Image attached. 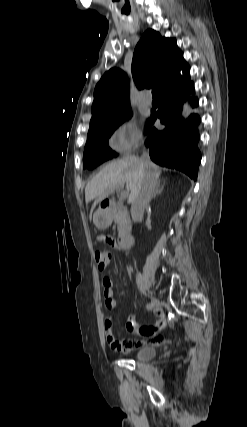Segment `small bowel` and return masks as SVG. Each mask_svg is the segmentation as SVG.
Listing matches in <instances>:
<instances>
[{"label": "small bowel", "mask_w": 247, "mask_h": 427, "mask_svg": "<svg viewBox=\"0 0 247 427\" xmlns=\"http://www.w3.org/2000/svg\"><path fill=\"white\" fill-rule=\"evenodd\" d=\"M99 238L102 239V243L108 248H113L115 240L113 238V234L111 232H104L99 235ZM103 288H104V298L106 307L109 310H113L117 306V302L114 298L113 293V284L112 280L108 277L103 279ZM113 315L108 314L105 320V332L107 336V340L110 343L111 347L117 352H129L135 347L141 346L146 343L159 345L165 342V338L158 333L167 326V319L164 315L160 314L158 320L151 325H145L140 327L137 320L134 316H130L127 319L126 328L130 332H137L144 339L140 341L128 342V346L120 347L117 345L118 341L115 339L112 332V323H113Z\"/></svg>", "instance_id": "obj_1"}]
</instances>
